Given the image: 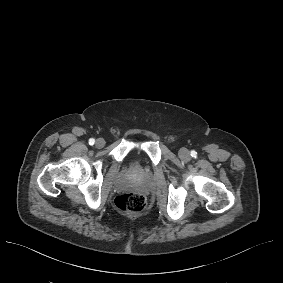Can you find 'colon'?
<instances>
[{
  "label": "colon",
  "mask_w": 283,
  "mask_h": 283,
  "mask_svg": "<svg viewBox=\"0 0 283 283\" xmlns=\"http://www.w3.org/2000/svg\"><path fill=\"white\" fill-rule=\"evenodd\" d=\"M145 198L139 193H125L115 199V205L127 214H138L145 208Z\"/></svg>",
  "instance_id": "colon-1"
}]
</instances>
